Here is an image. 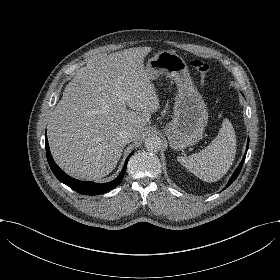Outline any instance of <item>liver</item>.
<instances>
[{
	"label": "liver",
	"instance_id": "6515ba94",
	"mask_svg": "<svg viewBox=\"0 0 280 280\" xmlns=\"http://www.w3.org/2000/svg\"><path fill=\"white\" fill-rule=\"evenodd\" d=\"M151 50L129 48L107 58L94 56L65 87L50 119L49 143L67 174L100 179L121 158L125 143L119 131H130L134 141L142 138L151 114L160 108L143 64Z\"/></svg>",
	"mask_w": 280,
	"mask_h": 280
}]
</instances>
